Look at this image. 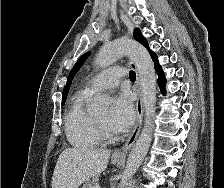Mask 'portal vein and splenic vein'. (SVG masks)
Here are the masks:
<instances>
[{
	"label": "portal vein and splenic vein",
	"instance_id": "1",
	"mask_svg": "<svg viewBox=\"0 0 224 188\" xmlns=\"http://www.w3.org/2000/svg\"><path fill=\"white\" fill-rule=\"evenodd\" d=\"M94 188H101L99 185L94 186Z\"/></svg>",
	"mask_w": 224,
	"mask_h": 188
}]
</instances>
